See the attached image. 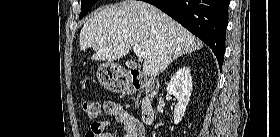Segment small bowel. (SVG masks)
Returning a JSON list of instances; mask_svg holds the SVG:
<instances>
[{"label":"small bowel","instance_id":"obj_1","mask_svg":"<svg viewBox=\"0 0 280 137\" xmlns=\"http://www.w3.org/2000/svg\"><path fill=\"white\" fill-rule=\"evenodd\" d=\"M103 112L106 115L113 116L116 122L125 131L124 137H129L131 134L130 126L132 124L139 127V131L143 137V130L141 124L131 115L123 110L121 105L109 101L103 105ZM114 126V122L111 120H103L100 122H94L91 125V129L86 133L85 137H114L113 133L108 130L109 127Z\"/></svg>","mask_w":280,"mask_h":137}]
</instances>
